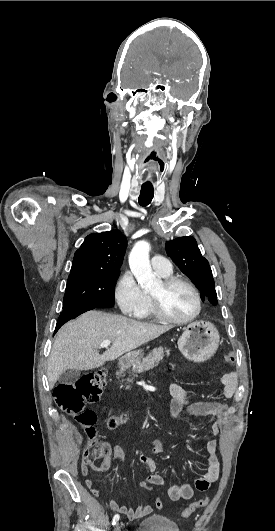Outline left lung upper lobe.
<instances>
[{
	"label": "left lung upper lobe",
	"instance_id": "left-lung-upper-lobe-1",
	"mask_svg": "<svg viewBox=\"0 0 275 531\" xmlns=\"http://www.w3.org/2000/svg\"><path fill=\"white\" fill-rule=\"evenodd\" d=\"M166 252L179 269L201 291V298L217 305V294L209 262L201 255L196 240L184 236L166 242Z\"/></svg>",
	"mask_w": 275,
	"mask_h": 531
}]
</instances>
